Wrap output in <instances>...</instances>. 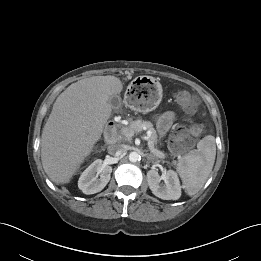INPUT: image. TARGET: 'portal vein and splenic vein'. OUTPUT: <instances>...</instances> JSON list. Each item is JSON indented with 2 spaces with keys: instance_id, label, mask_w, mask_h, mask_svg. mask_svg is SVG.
I'll list each match as a JSON object with an SVG mask.
<instances>
[{
  "instance_id": "1",
  "label": "portal vein and splenic vein",
  "mask_w": 261,
  "mask_h": 261,
  "mask_svg": "<svg viewBox=\"0 0 261 261\" xmlns=\"http://www.w3.org/2000/svg\"><path fill=\"white\" fill-rule=\"evenodd\" d=\"M124 135H125L126 137H128V138H131V137L134 135V133H133V132H129V131H127V130H124ZM144 139L148 141L149 149H153V146H152L151 143L149 142V137H144Z\"/></svg>"
}]
</instances>
